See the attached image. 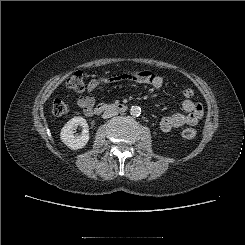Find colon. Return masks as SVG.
<instances>
[{
    "instance_id": "obj_1",
    "label": "colon",
    "mask_w": 245,
    "mask_h": 245,
    "mask_svg": "<svg viewBox=\"0 0 245 245\" xmlns=\"http://www.w3.org/2000/svg\"><path fill=\"white\" fill-rule=\"evenodd\" d=\"M66 86L74 91H82L85 87L84 76L81 72L73 73L66 81ZM194 92L191 88H185L182 91V95L187 98H191ZM68 112V105L61 99H55L52 104V113L55 116H62ZM182 135L186 139H192L196 136V130L194 128H185Z\"/></svg>"
}]
</instances>
